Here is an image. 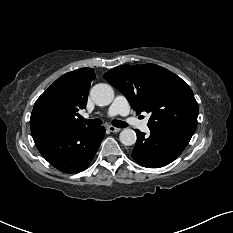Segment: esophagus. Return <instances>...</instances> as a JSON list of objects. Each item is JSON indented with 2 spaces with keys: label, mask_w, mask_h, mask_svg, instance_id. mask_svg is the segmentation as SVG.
<instances>
[{
  "label": "esophagus",
  "mask_w": 233,
  "mask_h": 233,
  "mask_svg": "<svg viewBox=\"0 0 233 233\" xmlns=\"http://www.w3.org/2000/svg\"><path fill=\"white\" fill-rule=\"evenodd\" d=\"M107 129H108L109 132H112V133H117V132H119L121 130L120 128H117V127H114V126H108Z\"/></svg>",
  "instance_id": "1"
}]
</instances>
